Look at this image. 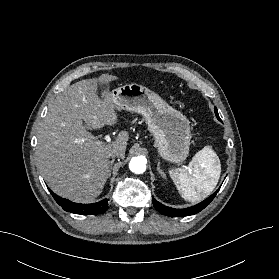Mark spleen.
<instances>
[{
	"instance_id": "1",
	"label": "spleen",
	"mask_w": 279,
	"mask_h": 279,
	"mask_svg": "<svg viewBox=\"0 0 279 279\" xmlns=\"http://www.w3.org/2000/svg\"><path fill=\"white\" fill-rule=\"evenodd\" d=\"M182 198L195 202L209 195L216 187L221 173V164L216 152L205 146L198 151L188 166L170 170Z\"/></svg>"
}]
</instances>
